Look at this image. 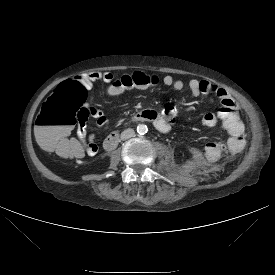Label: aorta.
Masks as SVG:
<instances>
[{"label": "aorta", "mask_w": 275, "mask_h": 275, "mask_svg": "<svg viewBox=\"0 0 275 275\" xmlns=\"http://www.w3.org/2000/svg\"><path fill=\"white\" fill-rule=\"evenodd\" d=\"M147 131H148V128H147L146 125H144V124H139V125L137 126V132H138L140 135H143V134L147 133Z\"/></svg>", "instance_id": "obj_1"}]
</instances>
